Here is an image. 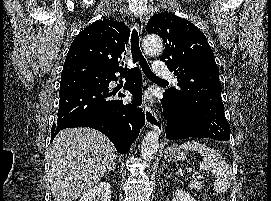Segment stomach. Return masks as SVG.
Instances as JSON below:
<instances>
[{"mask_svg":"<svg viewBox=\"0 0 271 201\" xmlns=\"http://www.w3.org/2000/svg\"><path fill=\"white\" fill-rule=\"evenodd\" d=\"M164 156L169 162L183 161L186 158L185 152L175 146L167 147Z\"/></svg>","mask_w":271,"mask_h":201,"instance_id":"obj_1","label":"stomach"}]
</instances>
